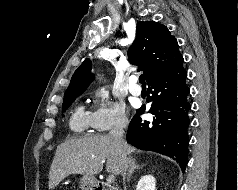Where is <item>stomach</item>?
I'll list each match as a JSON object with an SVG mask.
<instances>
[{
  "label": "stomach",
  "mask_w": 238,
  "mask_h": 190,
  "mask_svg": "<svg viewBox=\"0 0 238 190\" xmlns=\"http://www.w3.org/2000/svg\"><path fill=\"white\" fill-rule=\"evenodd\" d=\"M97 187V180L94 177L83 176L80 179V188L82 190H95Z\"/></svg>",
  "instance_id": "1"
}]
</instances>
